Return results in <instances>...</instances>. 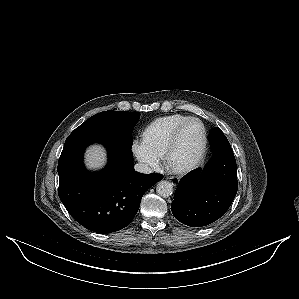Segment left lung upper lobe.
Listing matches in <instances>:
<instances>
[{"label":"left lung upper lobe","mask_w":299,"mask_h":299,"mask_svg":"<svg viewBox=\"0 0 299 299\" xmlns=\"http://www.w3.org/2000/svg\"><path fill=\"white\" fill-rule=\"evenodd\" d=\"M209 141L211 145L221 146L223 148L231 147L226 136L218 127H215L211 130Z\"/></svg>","instance_id":"1"}]
</instances>
